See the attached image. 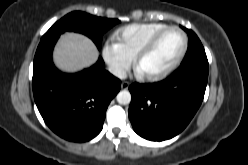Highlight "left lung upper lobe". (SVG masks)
<instances>
[{
	"mask_svg": "<svg viewBox=\"0 0 248 165\" xmlns=\"http://www.w3.org/2000/svg\"><path fill=\"white\" fill-rule=\"evenodd\" d=\"M188 34V49L183 62H186L196 56L206 55L201 41L197 35L190 29L182 27Z\"/></svg>",
	"mask_w": 248,
	"mask_h": 165,
	"instance_id": "5c2ea615",
	"label": "left lung upper lobe"
}]
</instances>
